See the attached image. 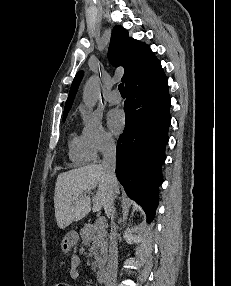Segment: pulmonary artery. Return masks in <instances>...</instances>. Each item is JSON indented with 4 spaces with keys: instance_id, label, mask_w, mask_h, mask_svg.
I'll return each mask as SVG.
<instances>
[{
    "instance_id": "obj_1",
    "label": "pulmonary artery",
    "mask_w": 231,
    "mask_h": 286,
    "mask_svg": "<svg viewBox=\"0 0 231 286\" xmlns=\"http://www.w3.org/2000/svg\"><path fill=\"white\" fill-rule=\"evenodd\" d=\"M107 100L111 104H119L121 102V96L117 89L112 90L108 96Z\"/></svg>"
}]
</instances>
